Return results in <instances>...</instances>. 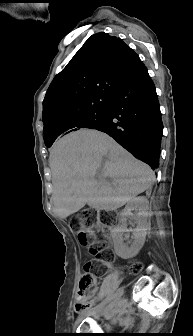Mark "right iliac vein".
I'll use <instances>...</instances> for the list:
<instances>
[{"instance_id":"1","label":"right iliac vein","mask_w":193,"mask_h":336,"mask_svg":"<svg viewBox=\"0 0 193 336\" xmlns=\"http://www.w3.org/2000/svg\"><path fill=\"white\" fill-rule=\"evenodd\" d=\"M124 293V289L123 288H120L117 292V295H118V299L117 301L115 302V305H114V310L113 312L117 309V307L120 305V301H121V297ZM100 308L101 307H94L92 308L91 310H89L88 312L86 313H83L82 315L79 316V318L76 320L75 324H74V328L77 327V325L82 321L83 318H85L86 316H89V315H97L100 311Z\"/></svg>"}]
</instances>
